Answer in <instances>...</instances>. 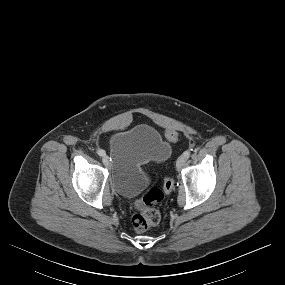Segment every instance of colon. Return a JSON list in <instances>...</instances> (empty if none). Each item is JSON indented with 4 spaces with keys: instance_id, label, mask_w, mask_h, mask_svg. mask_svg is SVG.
I'll list each match as a JSON object with an SVG mask.
<instances>
[{
    "instance_id": "obj_1",
    "label": "colon",
    "mask_w": 285,
    "mask_h": 285,
    "mask_svg": "<svg viewBox=\"0 0 285 285\" xmlns=\"http://www.w3.org/2000/svg\"><path fill=\"white\" fill-rule=\"evenodd\" d=\"M165 138L168 142L174 143L178 139V134L173 130H168L165 133ZM173 185V179L166 177L163 181L162 189L156 187L150 188L136 202L131 217L132 225L136 231H146L160 222V213L154 206L163 199L165 192L172 190Z\"/></svg>"
}]
</instances>
